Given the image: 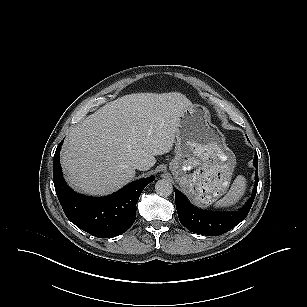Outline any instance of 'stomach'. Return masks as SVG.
Returning <instances> with one entry per match:
<instances>
[{
  "label": "stomach",
  "mask_w": 307,
  "mask_h": 307,
  "mask_svg": "<svg viewBox=\"0 0 307 307\" xmlns=\"http://www.w3.org/2000/svg\"><path fill=\"white\" fill-rule=\"evenodd\" d=\"M176 155L169 169L176 182L198 204H208L228 189L236 157L201 105L186 108L176 133Z\"/></svg>",
  "instance_id": "1"
}]
</instances>
